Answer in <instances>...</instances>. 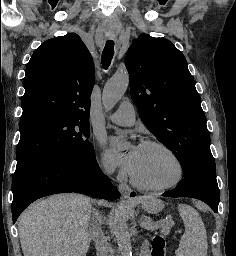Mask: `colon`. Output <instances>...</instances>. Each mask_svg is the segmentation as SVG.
Returning a JSON list of instances; mask_svg holds the SVG:
<instances>
[{
  "instance_id": "5ec220e1",
  "label": "colon",
  "mask_w": 236,
  "mask_h": 256,
  "mask_svg": "<svg viewBox=\"0 0 236 256\" xmlns=\"http://www.w3.org/2000/svg\"><path fill=\"white\" fill-rule=\"evenodd\" d=\"M151 256H166V239L158 233L156 234L151 243Z\"/></svg>"
}]
</instances>
